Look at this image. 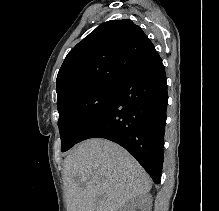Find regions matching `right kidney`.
Instances as JSON below:
<instances>
[{
	"label": "right kidney",
	"mask_w": 219,
	"mask_h": 211,
	"mask_svg": "<svg viewBox=\"0 0 219 211\" xmlns=\"http://www.w3.org/2000/svg\"><path fill=\"white\" fill-rule=\"evenodd\" d=\"M141 207L142 211H151L152 209V195H143V197H133L130 203L125 205L122 211H137Z\"/></svg>",
	"instance_id": "ca27d5eb"
}]
</instances>
